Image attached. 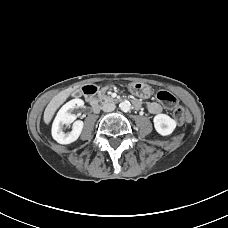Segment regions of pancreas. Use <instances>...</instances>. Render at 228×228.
Wrapping results in <instances>:
<instances>
[{
  "instance_id": "1",
  "label": "pancreas",
  "mask_w": 228,
  "mask_h": 228,
  "mask_svg": "<svg viewBox=\"0 0 228 228\" xmlns=\"http://www.w3.org/2000/svg\"><path fill=\"white\" fill-rule=\"evenodd\" d=\"M98 100L102 103L113 102V99L105 94H100Z\"/></svg>"
}]
</instances>
